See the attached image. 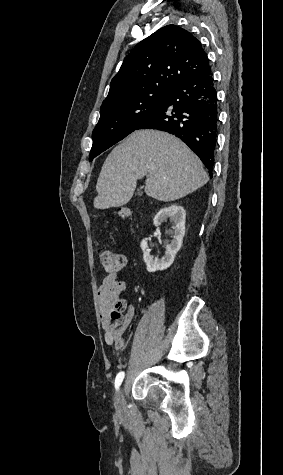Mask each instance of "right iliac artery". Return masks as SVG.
<instances>
[{
    "instance_id": "obj_1",
    "label": "right iliac artery",
    "mask_w": 283,
    "mask_h": 475,
    "mask_svg": "<svg viewBox=\"0 0 283 475\" xmlns=\"http://www.w3.org/2000/svg\"><path fill=\"white\" fill-rule=\"evenodd\" d=\"M124 379V372H120L117 374L115 379V388L118 389Z\"/></svg>"
}]
</instances>
